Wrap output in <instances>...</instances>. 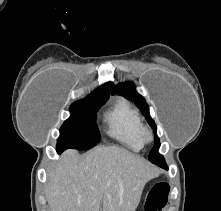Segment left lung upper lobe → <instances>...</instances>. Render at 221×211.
Instances as JSON below:
<instances>
[{"instance_id": "5c2ea615", "label": "left lung upper lobe", "mask_w": 221, "mask_h": 211, "mask_svg": "<svg viewBox=\"0 0 221 211\" xmlns=\"http://www.w3.org/2000/svg\"><path fill=\"white\" fill-rule=\"evenodd\" d=\"M112 94H118L126 97L128 100L135 101L136 106L141 110V112L146 117V120L150 124V126L154 129L155 137H154V146L149 154V160L160 166L161 163L165 162L164 157L158 153V149L160 147L159 138L156 135V125L154 120L151 118L149 114V107L145 101V99L135 91V87L130 83L118 84L115 88H113Z\"/></svg>"}]
</instances>
